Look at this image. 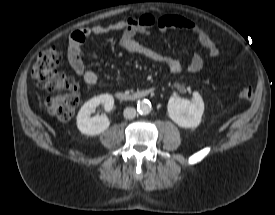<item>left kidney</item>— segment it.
I'll return each mask as SVG.
<instances>
[{
  "instance_id": "5707ae66",
  "label": "left kidney",
  "mask_w": 275,
  "mask_h": 215,
  "mask_svg": "<svg viewBox=\"0 0 275 215\" xmlns=\"http://www.w3.org/2000/svg\"><path fill=\"white\" fill-rule=\"evenodd\" d=\"M169 117L180 127L196 128L204 112V102L198 92H193V101L172 96L167 105Z\"/></svg>"
}]
</instances>
